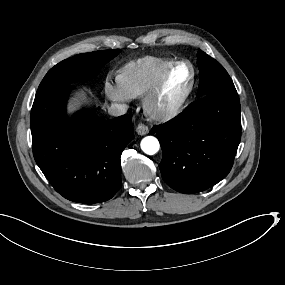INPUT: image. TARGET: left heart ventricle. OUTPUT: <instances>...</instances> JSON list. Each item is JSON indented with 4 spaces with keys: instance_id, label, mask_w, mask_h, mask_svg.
Masks as SVG:
<instances>
[{
    "instance_id": "1",
    "label": "left heart ventricle",
    "mask_w": 285,
    "mask_h": 285,
    "mask_svg": "<svg viewBox=\"0 0 285 285\" xmlns=\"http://www.w3.org/2000/svg\"><path fill=\"white\" fill-rule=\"evenodd\" d=\"M187 87V80L181 73L174 74L166 83L163 90L158 94L152 103V110L155 112L172 106L178 102Z\"/></svg>"
}]
</instances>
